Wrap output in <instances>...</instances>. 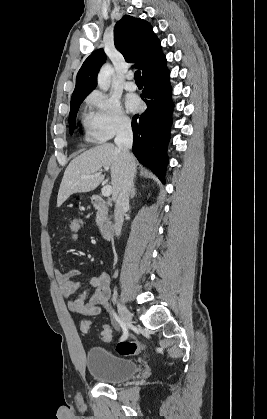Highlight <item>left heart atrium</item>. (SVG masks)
<instances>
[{"instance_id": "39dd6f15", "label": "left heart atrium", "mask_w": 267, "mask_h": 419, "mask_svg": "<svg viewBox=\"0 0 267 419\" xmlns=\"http://www.w3.org/2000/svg\"><path fill=\"white\" fill-rule=\"evenodd\" d=\"M126 106L129 111L135 112L140 108V101L136 96H129L126 99Z\"/></svg>"}]
</instances>
